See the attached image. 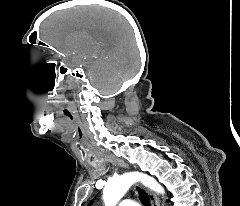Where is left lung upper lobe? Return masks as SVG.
<instances>
[{
    "label": "left lung upper lobe",
    "mask_w": 240,
    "mask_h": 206,
    "mask_svg": "<svg viewBox=\"0 0 240 206\" xmlns=\"http://www.w3.org/2000/svg\"><path fill=\"white\" fill-rule=\"evenodd\" d=\"M92 203H93V201H91V202L89 203V205H88V206H91V205H92Z\"/></svg>",
    "instance_id": "left-lung-upper-lobe-1"
}]
</instances>
